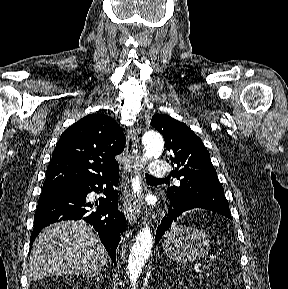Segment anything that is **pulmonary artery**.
Instances as JSON below:
<instances>
[{
  "mask_svg": "<svg viewBox=\"0 0 288 289\" xmlns=\"http://www.w3.org/2000/svg\"><path fill=\"white\" fill-rule=\"evenodd\" d=\"M149 173L155 178H166L168 176V167L165 162L156 160L150 163Z\"/></svg>",
  "mask_w": 288,
  "mask_h": 289,
  "instance_id": "1",
  "label": "pulmonary artery"
}]
</instances>
